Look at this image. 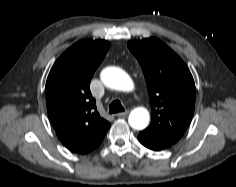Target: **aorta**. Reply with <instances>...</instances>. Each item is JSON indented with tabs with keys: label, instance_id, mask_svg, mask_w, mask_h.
Masks as SVG:
<instances>
[{
	"label": "aorta",
	"instance_id": "762f6f07",
	"mask_svg": "<svg viewBox=\"0 0 236 187\" xmlns=\"http://www.w3.org/2000/svg\"><path fill=\"white\" fill-rule=\"evenodd\" d=\"M103 84L111 89L131 92L134 90V83L130 76L118 67H106L100 75ZM149 112L143 107L135 108L131 111L128 122L129 125L136 130H143L149 123Z\"/></svg>",
	"mask_w": 236,
	"mask_h": 187
}]
</instances>
